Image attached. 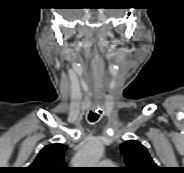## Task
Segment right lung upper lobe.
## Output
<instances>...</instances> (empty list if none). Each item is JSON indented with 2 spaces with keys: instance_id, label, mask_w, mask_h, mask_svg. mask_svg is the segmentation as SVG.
I'll return each mask as SVG.
<instances>
[{
  "instance_id": "right-lung-upper-lobe-1",
  "label": "right lung upper lobe",
  "mask_w": 184,
  "mask_h": 173,
  "mask_svg": "<svg viewBox=\"0 0 184 173\" xmlns=\"http://www.w3.org/2000/svg\"><path fill=\"white\" fill-rule=\"evenodd\" d=\"M66 146L60 143L45 146L34 162L26 168L27 173H68L64 155Z\"/></svg>"
}]
</instances>
